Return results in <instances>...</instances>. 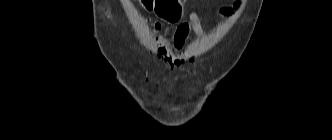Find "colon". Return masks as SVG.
<instances>
[{"label": "colon", "mask_w": 332, "mask_h": 140, "mask_svg": "<svg viewBox=\"0 0 332 140\" xmlns=\"http://www.w3.org/2000/svg\"><path fill=\"white\" fill-rule=\"evenodd\" d=\"M143 6L155 12L160 18L167 21H177L180 19L182 12V0H140ZM230 8H223L222 13H228ZM153 31L156 33L165 30V27L158 21L151 22Z\"/></svg>", "instance_id": "1"}]
</instances>
